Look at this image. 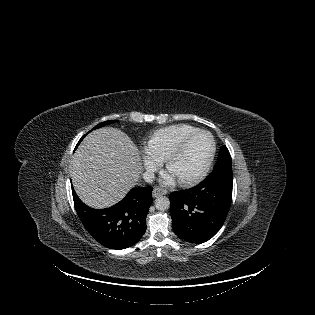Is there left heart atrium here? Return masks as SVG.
Instances as JSON below:
<instances>
[{
  "instance_id": "obj_1",
  "label": "left heart atrium",
  "mask_w": 315,
  "mask_h": 315,
  "mask_svg": "<svg viewBox=\"0 0 315 315\" xmlns=\"http://www.w3.org/2000/svg\"><path fill=\"white\" fill-rule=\"evenodd\" d=\"M170 181H172V176H167L166 182H170Z\"/></svg>"
}]
</instances>
